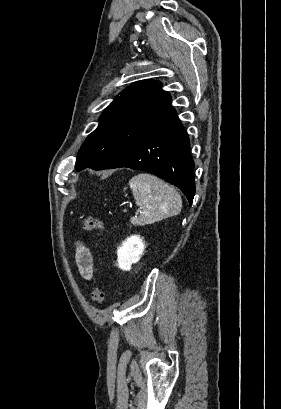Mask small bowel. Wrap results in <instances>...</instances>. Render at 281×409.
I'll list each match as a JSON object with an SVG mask.
<instances>
[{
	"instance_id": "small-bowel-1",
	"label": "small bowel",
	"mask_w": 281,
	"mask_h": 409,
	"mask_svg": "<svg viewBox=\"0 0 281 409\" xmlns=\"http://www.w3.org/2000/svg\"><path fill=\"white\" fill-rule=\"evenodd\" d=\"M75 263L81 277L91 279L94 269V260L90 250L82 243H77L75 248Z\"/></svg>"
}]
</instances>
